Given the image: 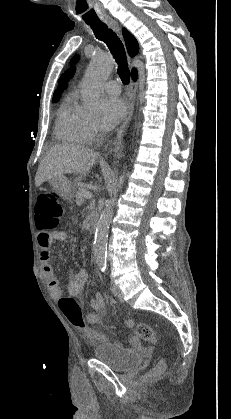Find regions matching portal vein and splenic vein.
Instances as JSON below:
<instances>
[{"instance_id":"1","label":"portal vein and splenic vein","mask_w":231,"mask_h":419,"mask_svg":"<svg viewBox=\"0 0 231 419\" xmlns=\"http://www.w3.org/2000/svg\"><path fill=\"white\" fill-rule=\"evenodd\" d=\"M84 196H85L86 199H91L92 198V194L90 192H86Z\"/></svg>"}]
</instances>
